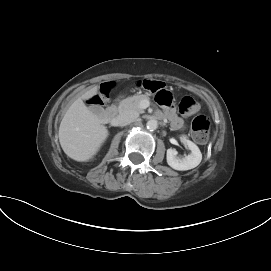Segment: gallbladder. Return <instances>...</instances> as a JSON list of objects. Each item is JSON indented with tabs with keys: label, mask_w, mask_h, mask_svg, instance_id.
Returning <instances> with one entry per match:
<instances>
[{
	"label": "gallbladder",
	"mask_w": 271,
	"mask_h": 271,
	"mask_svg": "<svg viewBox=\"0 0 271 271\" xmlns=\"http://www.w3.org/2000/svg\"><path fill=\"white\" fill-rule=\"evenodd\" d=\"M90 110L100 119L103 118L105 115L104 110L99 106H91Z\"/></svg>",
	"instance_id": "obj_1"
}]
</instances>
